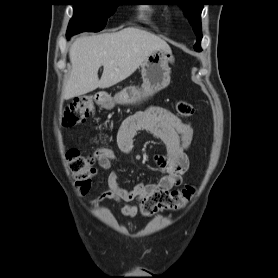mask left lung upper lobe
Segmentation results:
<instances>
[{"label": "left lung upper lobe", "mask_w": 278, "mask_h": 278, "mask_svg": "<svg viewBox=\"0 0 278 278\" xmlns=\"http://www.w3.org/2000/svg\"><path fill=\"white\" fill-rule=\"evenodd\" d=\"M177 4L182 8L184 14L188 18L194 33L199 40L202 39V29H201V12L203 9L202 0H175ZM197 40L194 45L196 51H201L200 41Z\"/></svg>", "instance_id": "obj_1"}]
</instances>
